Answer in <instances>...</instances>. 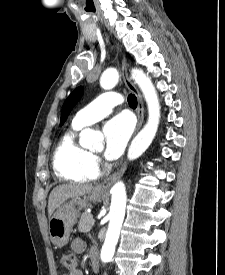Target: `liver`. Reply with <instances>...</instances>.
I'll use <instances>...</instances> for the list:
<instances>
[{"instance_id": "obj_1", "label": "liver", "mask_w": 225, "mask_h": 275, "mask_svg": "<svg viewBox=\"0 0 225 275\" xmlns=\"http://www.w3.org/2000/svg\"><path fill=\"white\" fill-rule=\"evenodd\" d=\"M93 190L91 184H62L55 187L48 200V216H52L54 210L70 198H78L89 194Z\"/></svg>"}]
</instances>
